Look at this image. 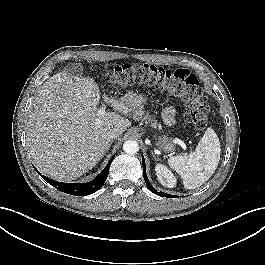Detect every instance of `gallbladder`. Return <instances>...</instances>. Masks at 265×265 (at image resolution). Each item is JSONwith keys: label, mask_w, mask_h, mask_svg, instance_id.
Wrapping results in <instances>:
<instances>
[{"label": "gallbladder", "mask_w": 265, "mask_h": 265, "mask_svg": "<svg viewBox=\"0 0 265 265\" xmlns=\"http://www.w3.org/2000/svg\"><path fill=\"white\" fill-rule=\"evenodd\" d=\"M67 70L70 74L79 75L82 72V67L81 66H70Z\"/></svg>", "instance_id": "obj_1"}]
</instances>
